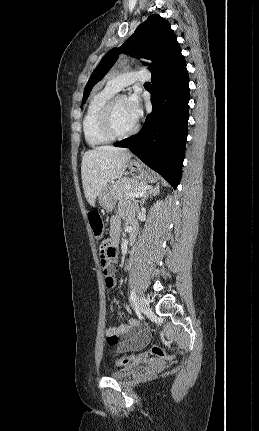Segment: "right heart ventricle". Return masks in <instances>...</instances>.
<instances>
[{
	"label": "right heart ventricle",
	"instance_id": "right-heart-ventricle-1",
	"mask_svg": "<svg viewBox=\"0 0 259 431\" xmlns=\"http://www.w3.org/2000/svg\"><path fill=\"white\" fill-rule=\"evenodd\" d=\"M115 93L114 90L106 86L93 94L88 102L82 120V129L85 141L91 147L106 145L113 140L102 132L99 124V113L105 102Z\"/></svg>",
	"mask_w": 259,
	"mask_h": 431
}]
</instances>
